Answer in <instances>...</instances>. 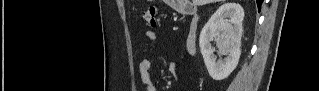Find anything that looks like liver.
I'll use <instances>...</instances> for the list:
<instances>
[{
  "label": "liver",
  "instance_id": "obj_1",
  "mask_svg": "<svg viewBox=\"0 0 319 91\" xmlns=\"http://www.w3.org/2000/svg\"><path fill=\"white\" fill-rule=\"evenodd\" d=\"M214 1H217V0H193V4L200 6V5H205Z\"/></svg>",
  "mask_w": 319,
  "mask_h": 91
}]
</instances>
